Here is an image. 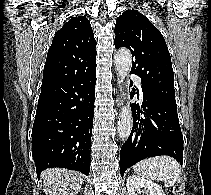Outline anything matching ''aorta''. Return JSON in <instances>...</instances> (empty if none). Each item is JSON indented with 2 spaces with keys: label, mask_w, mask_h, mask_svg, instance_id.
Instances as JSON below:
<instances>
[{
  "label": "aorta",
  "mask_w": 211,
  "mask_h": 195,
  "mask_svg": "<svg viewBox=\"0 0 211 195\" xmlns=\"http://www.w3.org/2000/svg\"><path fill=\"white\" fill-rule=\"evenodd\" d=\"M114 63L121 82L125 83V78L132 66V55L130 51L125 48L119 49L114 56ZM123 95L125 96V99H129L128 93H123ZM117 125L118 136L120 140L125 141L129 137L132 129V113L128 104L122 107Z\"/></svg>",
  "instance_id": "obj_1"
}]
</instances>
